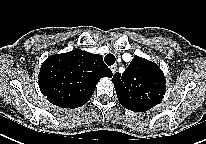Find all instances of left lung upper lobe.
Returning a JSON list of instances; mask_svg holds the SVG:
<instances>
[{
    "label": "left lung upper lobe",
    "instance_id": "1",
    "mask_svg": "<svg viewBox=\"0 0 206 144\" xmlns=\"http://www.w3.org/2000/svg\"><path fill=\"white\" fill-rule=\"evenodd\" d=\"M112 82L121 105L134 112H144L159 104L166 89L160 67L138 56L122 75L115 73Z\"/></svg>",
    "mask_w": 206,
    "mask_h": 144
}]
</instances>
